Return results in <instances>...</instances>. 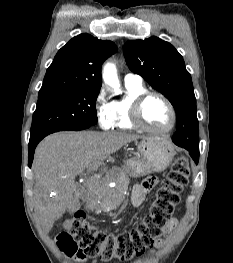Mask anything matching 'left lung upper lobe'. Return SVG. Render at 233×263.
I'll list each match as a JSON object with an SVG mask.
<instances>
[{"label":"left lung upper lobe","instance_id":"1","mask_svg":"<svg viewBox=\"0 0 233 263\" xmlns=\"http://www.w3.org/2000/svg\"><path fill=\"white\" fill-rule=\"evenodd\" d=\"M123 52L129 69L165 95L175 108L177 131L173 142L199 147L196 99L183 57L170 43L157 37L127 41Z\"/></svg>","mask_w":233,"mask_h":263}]
</instances>
